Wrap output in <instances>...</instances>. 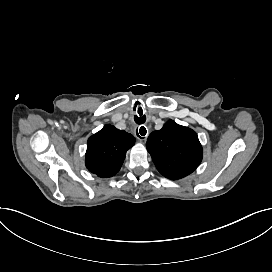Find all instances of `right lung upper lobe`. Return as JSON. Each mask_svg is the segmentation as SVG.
Segmentation results:
<instances>
[{"label":"right lung upper lobe","instance_id":"obj_1","mask_svg":"<svg viewBox=\"0 0 272 272\" xmlns=\"http://www.w3.org/2000/svg\"><path fill=\"white\" fill-rule=\"evenodd\" d=\"M134 143L133 135L110 124L105 125L88 139L86 167L99 177H112L120 170L126 151Z\"/></svg>","mask_w":272,"mask_h":272}]
</instances>
